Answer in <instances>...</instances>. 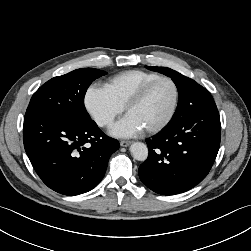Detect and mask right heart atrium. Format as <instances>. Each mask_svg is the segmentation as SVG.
Here are the masks:
<instances>
[{
    "instance_id": "d8ad5b80",
    "label": "right heart atrium",
    "mask_w": 251,
    "mask_h": 251,
    "mask_svg": "<svg viewBox=\"0 0 251 251\" xmlns=\"http://www.w3.org/2000/svg\"><path fill=\"white\" fill-rule=\"evenodd\" d=\"M84 106L95 123L102 128L112 126L114 120L124 110V107L104 87L98 85L87 88L84 94Z\"/></svg>"
}]
</instances>
